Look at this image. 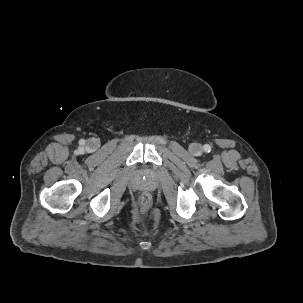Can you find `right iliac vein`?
Segmentation results:
<instances>
[{
    "label": "right iliac vein",
    "mask_w": 303,
    "mask_h": 303,
    "mask_svg": "<svg viewBox=\"0 0 303 303\" xmlns=\"http://www.w3.org/2000/svg\"><path fill=\"white\" fill-rule=\"evenodd\" d=\"M88 146L92 149H96L99 146V143L96 139H91L88 141Z\"/></svg>",
    "instance_id": "63e3f726"
}]
</instances>
